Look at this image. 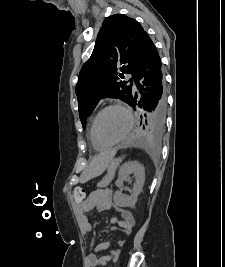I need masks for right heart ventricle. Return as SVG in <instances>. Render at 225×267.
I'll return each instance as SVG.
<instances>
[{"label":"right heart ventricle","mask_w":225,"mask_h":267,"mask_svg":"<svg viewBox=\"0 0 225 267\" xmlns=\"http://www.w3.org/2000/svg\"><path fill=\"white\" fill-rule=\"evenodd\" d=\"M97 114H98V112L95 113L90 120V124H89V128H88V136H89V140H90L93 148H95L96 150H103V149H106L108 147L98 143L95 140L94 135H93V122H94V119H95Z\"/></svg>","instance_id":"1"}]
</instances>
